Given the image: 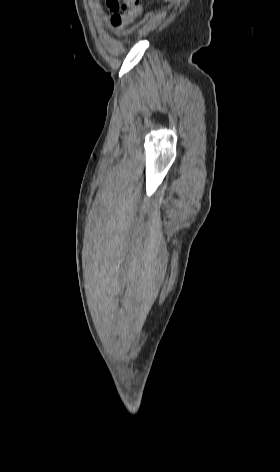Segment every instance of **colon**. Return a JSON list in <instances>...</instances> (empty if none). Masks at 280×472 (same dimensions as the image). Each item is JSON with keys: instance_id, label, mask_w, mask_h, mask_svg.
Segmentation results:
<instances>
[{"instance_id": "colon-1", "label": "colon", "mask_w": 280, "mask_h": 472, "mask_svg": "<svg viewBox=\"0 0 280 472\" xmlns=\"http://www.w3.org/2000/svg\"><path fill=\"white\" fill-rule=\"evenodd\" d=\"M108 10L112 13V23L123 26L133 22L141 13L139 0H123L122 5L118 0H106Z\"/></svg>"}]
</instances>
